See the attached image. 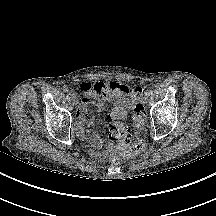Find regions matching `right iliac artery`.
<instances>
[{"instance_id": "right-iliac-artery-1", "label": "right iliac artery", "mask_w": 216, "mask_h": 216, "mask_svg": "<svg viewBox=\"0 0 216 216\" xmlns=\"http://www.w3.org/2000/svg\"><path fill=\"white\" fill-rule=\"evenodd\" d=\"M69 96L72 97V98H74V97H76V94H75V92L70 91V92H69Z\"/></svg>"}]
</instances>
